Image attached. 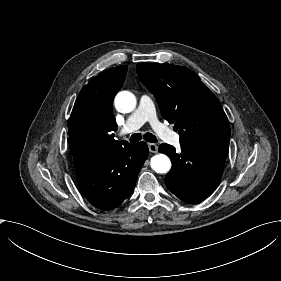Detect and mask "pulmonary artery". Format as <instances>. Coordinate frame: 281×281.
<instances>
[{
	"instance_id": "pulmonary-artery-1",
	"label": "pulmonary artery",
	"mask_w": 281,
	"mask_h": 281,
	"mask_svg": "<svg viewBox=\"0 0 281 281\" xmlns=\"http://www.w3.org/2000/svg\"><path fill=\"white\" fill-rule=\"evenodd\" d=\"M150 102V98L144 95L140 98V103L137 109L127 117L126 123L120 128L118 136L123 137L135 129L141 127L145 122H150L151 125L158 130H169L166 125H163L157 120L154 113L146 112L144 107ZM175 143L179 144V138L176 136Z\"/></svg>"
}]
</instances>
